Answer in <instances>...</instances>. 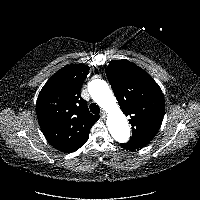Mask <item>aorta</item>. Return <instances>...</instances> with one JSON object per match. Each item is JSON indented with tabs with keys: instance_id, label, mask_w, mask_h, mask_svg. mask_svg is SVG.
I'll return each mask as SVG.
<instances>
[{
	"instance_id": "aorta-1",
	"label": "aorta",
	"mask_w": 200,
	"mask_h": 200,
	"mask_svg": "<svg viewBox=\"0 0 200 200\" xmlns=\"http://www.w3.org/2000/svg\"><path fill=\"white\" fill-rule=\"evenodd\" d=\"M88 91L93 100L106 111L107 126L114 140L119 143L127 142L130 127L107 82L101 79L92 80L88 84Z\"/></svg>"
}]
</instances>
